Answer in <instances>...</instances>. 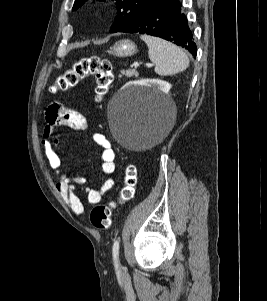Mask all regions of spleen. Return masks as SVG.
<instances>
[{"label": "spleen", "mask_w": 267, "mask_h": 301, "mask_svg": "<svg viewBox=\"0 0 267 301\" xmlns=\"http://www.w3.org/2000/svg\"><path fill=\"white\" fill-rule=\"evenodd\" d=\"M141 39L148 46L149 59L155 65V72L158 75H174L189 66L188 56L176 45L149 35H142Z\"/></svg>", "instance_id": "1"}]
</instances>
